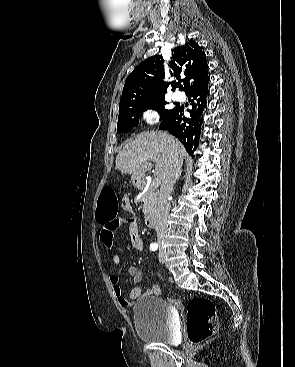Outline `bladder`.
I'll return each mask as SVG.
<instances>
[{"instance_id": "1", "label": "bladder", "mask_w": 295, "mask_h": 367, "mask_svg": "<svg viewBox=\"0 0 295 367\" xmlns=\"http://www.w3.org/2000/svg\"><path fill=\"white\" fill-rule=\"evenodd\" d=\"M138 337L148 342L173 344L177 339L176 312L165 299L145 296L133 312Z\"/></svg>"}]
</instances>
